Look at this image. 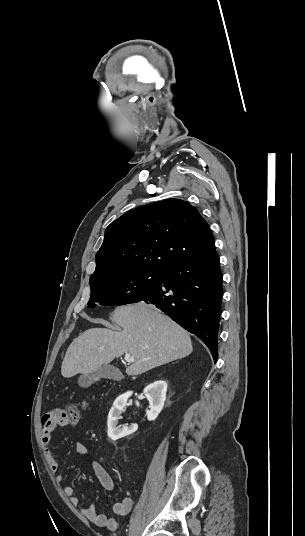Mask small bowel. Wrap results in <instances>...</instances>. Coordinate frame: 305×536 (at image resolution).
Segmentation results:
<instances>
[{
  "label": "small bowel",
  "instance_id": "small-bowel-1",
  "mask_svg": "<svg viewBox=\"0 0 305 536\" xmlns=\"http://www.w3.org/2000/svg\"><path fill=\"white\" fill-rule=\"evenodd\" d=\"M42 418L43 419H40L38 421V426L40 427L38 433L40 435L41 446L45 453L49 468L55 474L56 482L62 483L64 480V476L62 473L59 472V463L56 459V456L51 450L52 434L50 430L51 426H68V419L65 417L64 410L62 408H57L55 411H44ZM75 449L81 457H88V450L83 443H76ZM91 467L103 488L106 491H113L115 488V483L110 474L106 471V469L97 461H92ZM63 491L65 496L74 506L80 505V498L75 495L74 488L72 486L66 485ZM132 506V499L130 497H124L122 500L116 502L113 505V511L118 516H125L129 514L132 509ZM81 512L90 522H92L98 527H104L112 531L118 528L119 523L116 518L108 517L102 513L97 512L94 505L81 508Z\"/></svg>",
  "mask_w": 305,
  "mask_h": 536
}]
</instances>
